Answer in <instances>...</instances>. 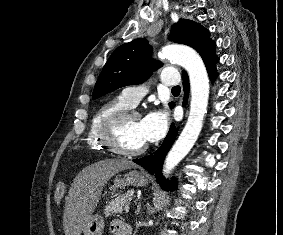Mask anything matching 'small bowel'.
<instances>
[{"label": "small bowel", "mask_w": 283, "mask_h": 235, "mask_svg": "<svg viewBox=\"0 0 283 235\" xmlns=\"http://www.w3.org/2000/svg\"><path fill=\"white\" fill-rule=\"evenodd\" d=\"M119 223H121V222L115 221V222H113L112 225H111V231H112L114 234H116V235H117V225H118Z\"/></svg>", "instance_id": "1"}]
</instances>
